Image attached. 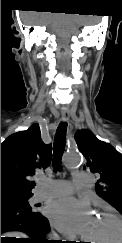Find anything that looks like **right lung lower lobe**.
Returning <instances> with one entry per match:
<instances>
[{
  "mask_svg": "<svg viewBox=\"0 0 122 243\" xmlns=\"http://www.w3.org/2000/svg\"><path fill=\"white\" fill-rule=\"evenodd\" d=\"M14 230L25 232L29 236L24 239L1 237V243H58L44 239L50 226L47 218L40 212L16 205H1V233Z\"/></svg>",
  "mask_w": 122,
  "mask_h": 243,
  "instance_id": "obj_1",
  "label": "right lung lower lobe"
}]
</instances>
